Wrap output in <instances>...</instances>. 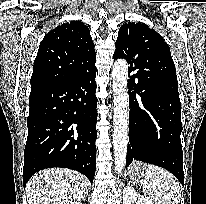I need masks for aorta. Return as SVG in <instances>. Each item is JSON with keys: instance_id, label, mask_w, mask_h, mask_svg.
<instances>
[{"instance_id": "obj_1", "label": "aorta", "mask_w": 206, "mask_h": 204, "mask_svg": "<svg viewBox=\"0 0 206 204\" xmlns=\"http://www.w3.org/2000/svg\"><path fill=\"white\" fill-rule=\"evenodd\" d=\"M128 64L126 60L118 59L112 69L114 117H113V147L115 173L120 175L126 164L129 125V102L127 94Z\"/></svg>"}]
</instances>
